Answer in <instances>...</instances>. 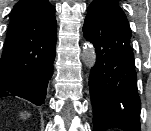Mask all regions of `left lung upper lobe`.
<instances>
[{"label":"left lung upper lobe","mask_w":151,"mask_h":131,"mask_svg":"<svg viewBox=\"0 0 151 131\" xmlns=\"http://www.w3.org/2000/svg\"><path fill=\"white\" fill-rule=\"evenodd\" d=\"M97 6H111V7L119 9L124 14L122 9L118 5V0H93V2L90 4L88 9L94 8Z\"/></svg>","instance_id":"1"}]
</instances>
